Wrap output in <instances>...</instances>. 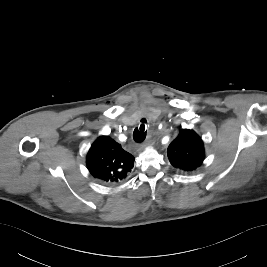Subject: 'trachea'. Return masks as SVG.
I'll return each instance as SVG.
<instances>
[{"mask_svg": "<svg viewBox=\"0 0 267 267\" xmlns=\"http://www.w3.org/2000/svg\"><path fill=\"white\" fill-rule=\"evenodd\" d=\"M146 123H147V121L145 118L141 119L140 127L135 128V130L133 132V139L138 143L143 142L146 138V131H145V124Z\"/></svg>", "mask_w": 267, "mask_h": 267, "instance_id": "obj_1", "label": "trachea"}]
</instances>
